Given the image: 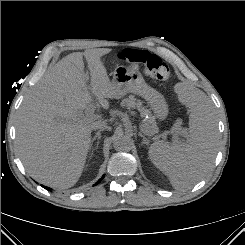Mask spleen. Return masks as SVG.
Masks as SVG:
<instances>
[{
	"instance_id": "1",
	"label": "spleen",
	"mask_w": 245,
	"mask_h": 245,
	"mask_svg": "<svg viewBox=\"0 0 245 245\" xmlns=\"http://www.w3.org/2000/svg\"><path fill=\"white\" fill-rule=\"evenodd\" d=\"M180 98L190 111L186 142H154L149 157L175 189L185 190L210 170L217 151L218 129L211 101L201 90L185 84Z\"/></svg>"
}]
</instances>
